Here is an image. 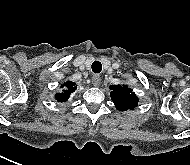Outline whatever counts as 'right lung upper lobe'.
Returning <instances> with one entry per match:
<instances>
[{
    "label": "right lung upper lobe",
    "mask_w": 190,
    "mask_h": 165,
    "mask_svg": "<svg viewBox=\"0 0 190 165\" xmlns=\"http://www.w3.org/2000/svg\"><path fill=\"white\" fill-rule=\"evenodd\" d=\"M61 88H64L62 93L56 94V100L58 102H65L69 99L70 94L76 90V85L74 82L67 81L61 85Z\"/></svg>",
    "instance_id": "1"
}]
</instances>
